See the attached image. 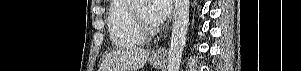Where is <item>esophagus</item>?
<instances>
[{"mask_svg":"<svg viewBox=\"0 0 301 71\" xmlns=\"http://www.w3.org/2000/svg\"><path fill=\"white\" fill-rule=\"evenodd\" d=\"M166 56V49L165 47L158 48L154 53L153 57L157 59H161Z\"/></svg>","mask_w":301,"mask_h":71,"instance_id":"34e87169","label":"esophagus"}]
</instances>
